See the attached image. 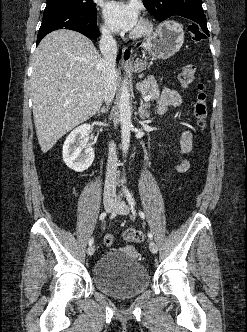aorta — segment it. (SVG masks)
Instances as JSON below:
<instances>
[{"label":"aorta","mask_w":247,"mask_h":332,"mask_svg":"<svg viewBox=\"0 0 247 332\" xmlns=\"http://www.w3.org/2000/svg\"><path fill=\"white\" fill-rule=\"evenodd\" d=\"M119 112H120L119 120L121 123L122 150L123 154L126 156L129 149L130 131L132 127L130 93H129L127 79L123 80V84L121 87Z\"/></svg>","instance_id":"obj_1"}]
</instances>
